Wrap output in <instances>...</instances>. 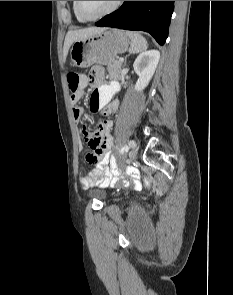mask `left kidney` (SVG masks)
<instances>
[{
	"label": "left kidney",
	"mask_w": 233,
	"mask_h": 295,
	"mask_svg": "<svg viewBox=\"0 0 233 295\" xmlns=\"http://www.w3.org/2000/svg\"><path fill=\"white\" fill-rule=\"evenodd\" d=\"M160 60L158 50H148L139 54L133 64L134 71L139 76L135 85L136 91H142L152 79Z\"/></svg>",
	"instance_id": "obj_1"
}]
</instances>
